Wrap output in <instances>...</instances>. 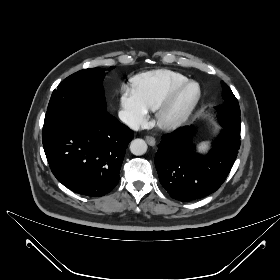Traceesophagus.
Returning <instances> with one entry per match:
<instances>
[{
    "label": "esophagus",
    "instance_id": "1",
    "mask_svg": "<svg viewBox=\"0 0 280 280\" xmlns=\"http://www.w3.org/2000/svg\"><path fill=\"white\" fill-rule=\"evenodd\" d=\"M146 141L150 146H154L156 144L155 138L152 136H147Z\"/></svg>",
    "mask_w": 280,
    "mask_h": 280
}]
</instances>
